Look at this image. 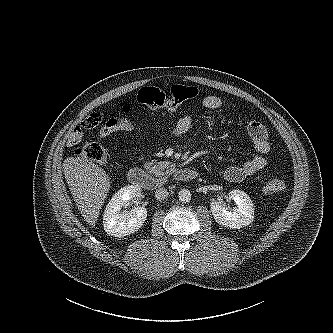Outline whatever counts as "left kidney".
<instances>
[{"label": "left kidney", "mask_w": 333, "mask_h": 333, "mask_svg": "<svg viewBox=\"0 0 333 333\" xmlns=\"http://www.w3.org/2000/svg\"><path fill=\"white\" fill-rule=\"evenodd\" d=\"M229 196L237 205L233 209L228 208L220 200L211 201L210 208L215 221L232 229L248 226L254 218L252 200L245 192L240 190L230 191Z\"/></svg>", "instance_id": "5707ae66"}]
</instances>
